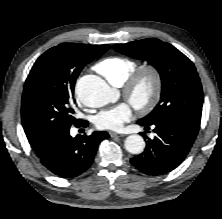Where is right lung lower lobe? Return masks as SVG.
I'll list each match as a JSON object with an SVG mask.
<instances>
[{"instance_id":"obj_1","label":"right lung lower lobe","mask_w":222,"mask_h":219,"mask_svg":"<svg viewBox=\"0 0 222 219\" xmlns=\"http://www.w3.org/2000/svg\"><path fill=\"white\" fill-rule=\"evenodd\" d=\"M80 120L76 126H87ZM69 129L49 139L42 150L37 152L41 163L53 174L62 178H73L85 172L93 162L98 144L109 137L107 132H94L90 136L71 137Z\"/></svg>"}]
</instances>
